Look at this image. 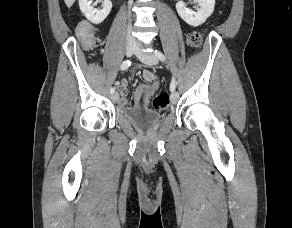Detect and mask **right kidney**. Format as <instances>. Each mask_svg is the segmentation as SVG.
I'll use <instances>...</instances> for the list:
<instances>
[{
  "label": "right kidney",
  "mask_w": 292,
  "mask_h": 228,
  "mask_svg": "<svg viewBox=\"0 0 292 228\" xmlns=\"http://www.w3.org/2000/svg\"><path fill=\"white\" fill-rule=\"evenodd\" d=\"M92 0H79V7L85 17L93 24H100L109 15L112 9L110 0H104L101 10L95 9Z\"/></svg>",
  "instance_id": "right-kidney-1"
}]
</instances>
